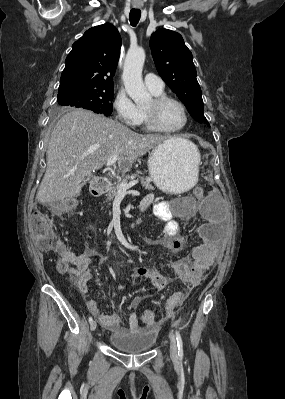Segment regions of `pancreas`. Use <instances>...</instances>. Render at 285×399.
Segmentation results:
<instances>
[{
	"mask_svg": "<svg viewBox=\"0 0 285 399\" xmlns=\"http://www.w3.org/2000/svg\"><path fill=\"white\" fill-rule=\"evenodd\" d=\"M136 174L132 175H126L125 177L122 178L120 182L117 184H109L106 187V200L111 201L113 198L117 195L118 190H119V184L120 183H127L128 180H132L134 177H136ZM141 184L146 190H153V186L151 185V179L147 177H141Z\"/></svg>",
	"mask_w": 285,
	"mask_h": 399,
	"instance_id": "1",
	"label": "pancreas"
}]
</instances>
